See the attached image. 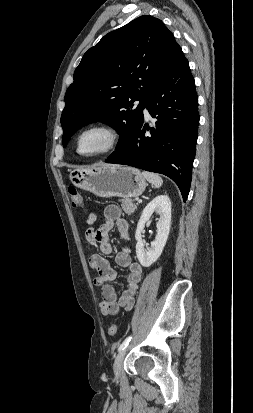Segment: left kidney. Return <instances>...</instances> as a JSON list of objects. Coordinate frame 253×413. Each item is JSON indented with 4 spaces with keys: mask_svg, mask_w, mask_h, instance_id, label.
Returning <instances> with one entry per match:
<instances>
[{
    "mask_svg": "<svg viewBox=\"0 0 253 413\" xmlns=\"http://www.w3.org/2000/svg\"><path fill=\"white\" fill-rule=\"evenodd\" d=\"M154 212L160 215L156 224L157 235L155 241L151 242L150 247L145 248L141 233L144 230L146 222H149ZM171 224V201L167 195H159L147 204L137 224L135 232L136 255L143 267H149L163 252L170 232Z\"/></svg>",
    "mask_w": 253,
    "mask_h": 413,
    "instance_id": "1",
    "label": "left kidney"
}]
</instances>
